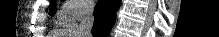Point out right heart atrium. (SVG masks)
<instances>
[{"instance_id":"obj_1","label":"right heart atrium","mask_w":219,"mask_h":37,"mask_svg":"<svg viewBox=\"0 0 219 37\" xmlns=\"http://www.w3.org/2000/svg\"><path fill=\"white\" fill-rule=\"evenodd\" d=\"M92 5L90 1L67 0L61 10V17L68 21H78L90 13Z\"/></svg>"}]
</instances>
